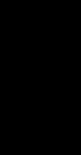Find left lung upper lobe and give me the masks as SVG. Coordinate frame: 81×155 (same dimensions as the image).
Instances as JSON below:
<instances>
[{
  "label": "left lung upper lobe",
  "instance_id": "left-lung-upper-lobe-1",
  "mask_svg": "<svg viewBox=\"0 0 81 155\" xmlns=\"http://www.w3.org/2000/svg\"><path fill=\"white\" fill-rule=\"evenodd\" d=\"M46 59L55 69L67 94V108L80 112L81 58L79 53L69 47L51 49Z\"/></svg>",
  "mask_w": 81,
  "mask_h": 155
}]
</instances>
